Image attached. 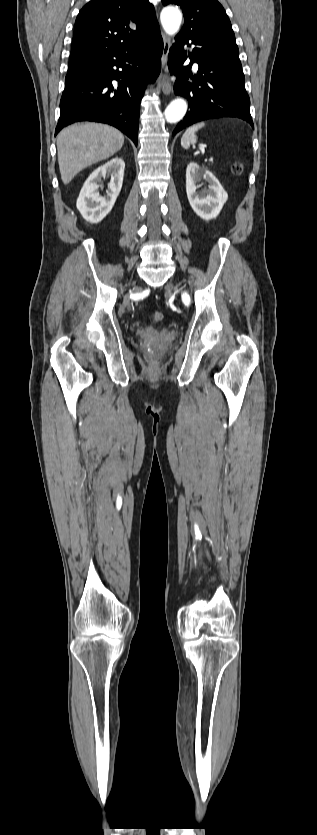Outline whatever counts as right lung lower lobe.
Listing matches in <instances>:
<instances>
[{
  "instance_id": "1",
  "label": "right lung lower lobe",
  "mask_w": 317,
  "mask_h": 835,
  "mask_svg": "<svg viewBox=\"0 0 317 835\" xmlns=\"http://www.w3.org/2000/svg\"><path fill=\"white\" fill-rule=\"evenodd\" d=\"M162 52L163 40L156 28L147 38L116 52L71 53L55 135L74 122L95 121L118 128L137 145L140 102L160 70Z\"/></svg>"
}]
</instances>
